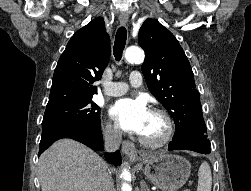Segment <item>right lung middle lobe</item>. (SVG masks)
I'll return each mask as SVG.
<instances>
[{
  "label": "right lung middle lobe",
  "mask_w": 251,
  "mask_h": 191,
  "mask_svg": "<svg viewBox=\"0 0 251 191\" xmlns=\"http://www.w3.org/2000/svg\"><path fill=\"white\" fill-rule=\"evenodd\" d=\"M69 124L99 127L100 108L92 99L78 100L46 107L42 121V134Z\"/></svg>",
  "instance_id": "dd1d6c3e"
}]
</instances>
